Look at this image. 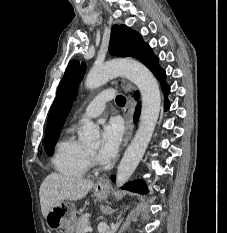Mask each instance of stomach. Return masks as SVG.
I'll list each match as a JSON object with an SVG mask.
<instances>
[{"label":"stomach","mask_w":227,"mask_h":233,"mask_svg":"<svg viewBox=\"0 0 227 233\" xmlns=\"http://www.w3.org/2000/svg\"><path fill=\"white\" fill-rule=\"evenodd\" d=\"M109 194L107 186H94V195L98 200L105 199ZM46 223L50 229H63L65 233H73L76 224V208L71 202L55 205L48 213Z\"/></svg>","instance_id":"stomach-1"}]
</instances>
